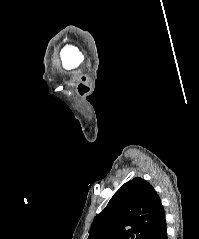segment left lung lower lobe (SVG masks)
Wrapping results in <instances>:
<instances>
[{"mask_svg":"<svg viewBox=\"0 0 199 239\" xmlns=\"http://www.w3.org/2000/svg\"><path fill=\"white\" fill-rule=\"evenodd\" d=\"M147 239H168L164 210L155 221Z\"/></svg>","mask_w":199,"mask_h":239,"instance_id":"0a47b994","label":"left lung lower lobe"}]
</instances>
